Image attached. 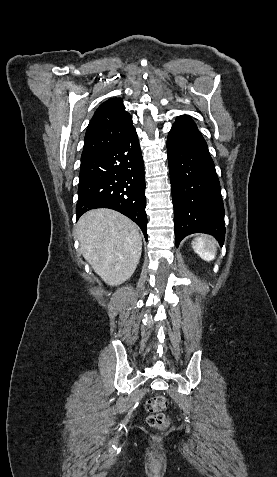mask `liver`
Here are the masks:
<instances>
[{
  "label": "liver",
  "instance_id": "6515ba94",
  "mask_svg": "<svg viewBox=\"0 0 277 477\" xmlns=\"http://www.w3.org/2000/svg\"><path fill=\"white\" fill-rule=\"evenodd\" d=\"M80 251L96 274L110 285L127 281L134 273L142 252L137 225L114 210H90L76 226Z\"/></svg>",
  "mask_w": 277,
  "mask_h": 477
}]
</instances>
